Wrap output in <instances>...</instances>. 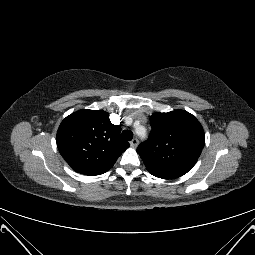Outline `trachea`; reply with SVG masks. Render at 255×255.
<instances>
[{
    "label": "trachea",
    "mask_w": 255,
    "mask_h": 255,
    "mask_svg": "<svg viewBox=\"0 0 255 255\" xmlns=\"http://www.w3.org/2000/svg\"><path fill=\"white\" fill-rule=\"evenodd\" d=\"M122 138L127 141H131L133 138V133L130 130H123L122 131Z\"/></svg>",
    "instance_id": "obj_1"
}]
</instances>
